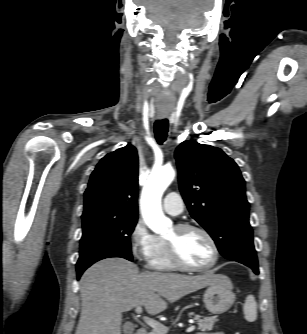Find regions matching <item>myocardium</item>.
<instances>
[{
  "mask_svg": "<svg viewBox=\"0 0 307 334\" xmlns=\"http://www.w3.org/2000/svg\"><path fill=\"white\" fill-rule=\"evenodd\" d=\"M175 229L179 232L195 230V231L202 233L206 237V239L209 241L212 247V251H213L212 260L208 264L204 266H192V265L187 264L182 259V257L180 256L178 252L175 242L165 240L170 260L172 261V263L175 265L176 268H179L184 271H190V272H201V271H206L208 269H211L212 267L216 265V263L219 260L220 251H219L217 242L215 241L214 237L211 235V233L207 229H205L204 227L200 225L192 224V223L177 224L175 226Z\"/></svg>",
  "mask_w": 307,
  "mask_h": 334,
  "instance_id": "obj_1",
  "label": "myocardium"
}]
</instances>
